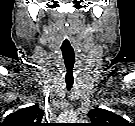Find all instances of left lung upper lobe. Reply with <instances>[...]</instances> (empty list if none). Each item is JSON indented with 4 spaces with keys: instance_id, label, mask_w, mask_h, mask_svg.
Segmentation results:
<instances>
[{
    "instance_id": "left-lung-upper-lobe-1",
    "label": "left lung upper lobe",
    "mask_w": 135,
    "mask_h": 126,
    "mask_svg": "<svg viewBox=\"0 0 135 126\" xmlns=\"http://www.w3.org/2000/svg\"><path fill=\"white\" fill-rule=\"evenodd\" d=\"M92 126H121L124 119L108 110L95 108L88 113Z\"/></svg>"
}]
</instances>
